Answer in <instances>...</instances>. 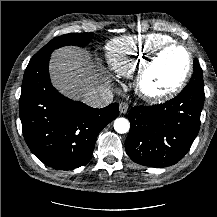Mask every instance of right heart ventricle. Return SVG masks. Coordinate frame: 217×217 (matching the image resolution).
I'll return each instance as SVG.
<instances>
[{
    "instance_id": "obj_1",
    "label": "right heart ventricle",
    "mask_w": 217,
    "mask_h": 217,
    "mask_svg": "<svg viewBox=\"0 0 217 217\" xmlns=\"http://www.w3.org/2000/svg\"><path fill=\"white\" fill-rule=\"evenodd\" d=\"M169 42L171 38L160 33L114 38L106 46L107 63L117 74L130 76L153 51Z\"/></svg>"
}]
</instances>
